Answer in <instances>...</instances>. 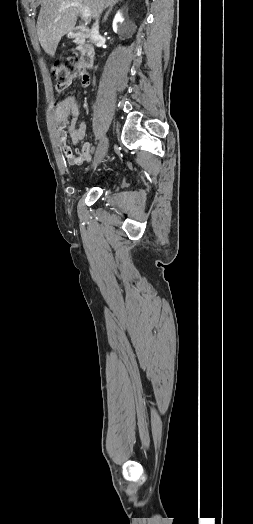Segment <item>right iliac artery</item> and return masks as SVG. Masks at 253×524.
<instances>
[{"instance_id": "1", "label": "right iliac artery", "mask_w": 253, "mask_h": 524, "mask_svg": "<svg viewBox=\"0 0 253 524\" xmlns=\"http://www.w3.org/2000/svg\"><path fill=\"white\" fill-rule=\"evenodd\" d=\"M96 150V146H93L92 149H91V153L93 154Z\"/></svg>"}]
</instances>
